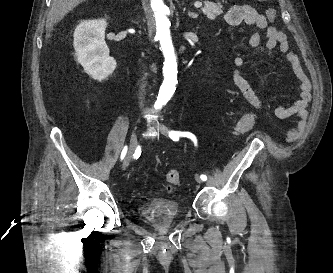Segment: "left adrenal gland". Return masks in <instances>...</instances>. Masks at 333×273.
I'll return each instance as SVG.
<instances>
[{"mask_svg": "<svg viewBox=\"0 0 333 273\" xmlns=\"http://www.w3.org/2000/svg\"><path fill=\"white\" fill-rule=\"evenodd\" d=\"M183 6H184V2H183V4H182ZM185 7L183 8V10L185 11ZM188 15H189V17H191V18H197L198 17V14L197 13H194V12H188Z\"/></svg>", "mask_w": 333, "mask_h": 273, "instance_id": "obj_1", "label": "left adrenal gland"}]
</instances>
